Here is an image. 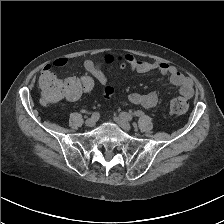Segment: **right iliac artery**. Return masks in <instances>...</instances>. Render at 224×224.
<instances>
[{"label": "right iliac artery", "mask_w": 224, "mask_h": 224, "mask_svg": "<svg viewBox=\"0 0 224 224\" xmlns=\"http://www.w3.org/2000/svg\"><path fill=\"white\" fill-rule=\"evenodd\" d=\"M99 117H100V114H99L98 112H94V113L92 114V116H91V118H92L94 121L98 120Z\"/></svg>", "instance_id": "1"}]
</instances>
